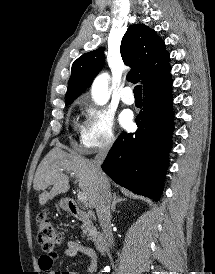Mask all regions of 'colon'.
Here are the masks:
<instances>
[{"instance_id": "1", "label": "colon", "mask_w": 215, "mask_h": 274, "mask_svg": "<svg viewBox=\"0 0 215 274\" xmlns=\"http://www.w3.org/2000/svg\"><path fill=\"white\" fill-rule=\"evenodd\" d=\"M37 239L46 252H54L56 246L61 242L59 231L45 213H40L37 216Z\"/></svg>"}]
</instances>
